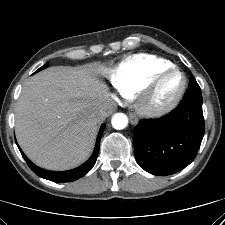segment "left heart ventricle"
<instances>
[{
	"mask_svg": "<svg viewBox=\"0 0 225 225\" xmlns=\"http://www.w3.org/2000/svg\"><path fill=\"white\" fill-rule=\"evenodd\" d=\"M176 83L177 78L175 76L164 81L154 96L153 102L158 103L163 101L172 92Z\"/></svg>",
	"mask_w": 225,
	"mask_h": 225,
	"instance_id": "left-heart-ventricle-1",
	"label": "left heart ventricle"
}]
</instances>
